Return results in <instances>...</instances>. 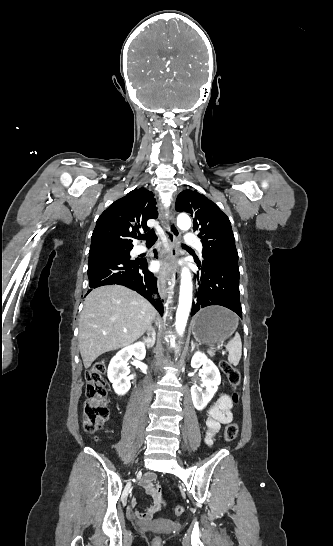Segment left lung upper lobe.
<instances>
[{
    "label": "left lung upper lobe",
    "instance_id": "5c2ea615",
    "mask_svg": "<svg viewBox=\"0 0 333 546\" xmlns=\"http://www.w3.org/2000/svg\"><path fill=\"white\" fill-rule=\"evenodd\" d=\"M175 207L178 212H187L194 219L193 229L198 231L203 244L201 265L238 263L229 218L214 202L196 190H184L178 195Z\"/></svg>",
    "mask_w": 333,
    "mask_h": 546
}]
</instances>
